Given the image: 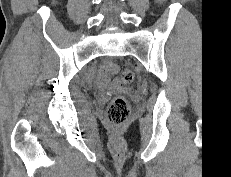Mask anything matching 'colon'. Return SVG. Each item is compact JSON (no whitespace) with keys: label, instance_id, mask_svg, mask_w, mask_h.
Instances as JSON below:
<instances>
[{"label":"colon","instance_id":"colon-1","mask_svg":"<svg viewBox=\"0 0 231 177\" xmlns=\"http://www.w3.org/2000/svg\"><path fill=\"white\" fill-rule=\"evenodd\" d=\"M134 79V73L130 69H125L122 71L118 78L119 84L127 85L130 84ZM131 113V106L129 101L120 95L115 96L108 108H107V120L108 122L115 126L119 127L123 125L129 118Z\"/></svg>","mask_w":231,"mask_h":177}]
</instances>
